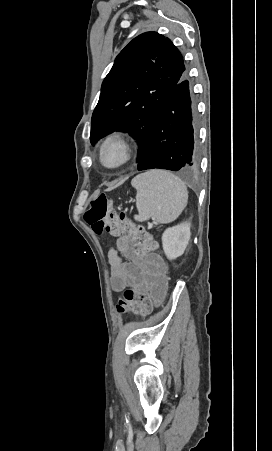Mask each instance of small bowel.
<instances>
[{
  "mask_svg": "<svg viewBox=\"0 0 272 451\" xmlns=\"http://www.w3.org/2000/svg\"><path fill=\"white\" fill-rule=\"evenodd\" d=\"M121 239L117 238L116 246L108 251L113 291L143 288L149 282L146 275L149 267L154 269L156 276H162L166 280L167 264L160 255L153 251H142L138 252L141 257L137 258L131 245H122Z\"/></svg>",
  "mask_w": 272,
  "mask_h": 451,
  "instance_id": "small-bowel-1",
  "label": "small bowel"
}]
</instances>
